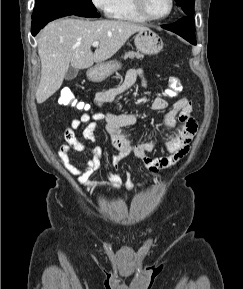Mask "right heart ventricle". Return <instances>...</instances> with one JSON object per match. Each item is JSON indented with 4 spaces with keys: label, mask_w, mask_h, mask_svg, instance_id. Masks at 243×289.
Wrapping results in <instances>:
<instances>
[{
    "label": "right heart ventricle",
    "mask_w": 243,
    "mask_h": 289,
    "mask_svg": "<svg viewBox=\"0 0 243 289\" xmlns=\"http://www.w3.org/2000/svg\"><path fill=\"white\" fill-rule=\"evenodd\" d=\"M108 14L111 18L122 21H147V19L138 13L133 0H113L111 9L109 10Z\"/></svg>",
    "instance_id": "right-heart-ventricle-1"
}]
</instances>
